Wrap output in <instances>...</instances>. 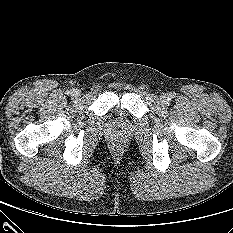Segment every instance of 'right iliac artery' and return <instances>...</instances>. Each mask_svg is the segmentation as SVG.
Here are the masks:
<instances>
[{
    "instance_id": "82829eb1",
    "label": "right iliac artery",
    "mask_w": 233,
    "mask_h": 233,
    "mask_svg": "<svg viewBox=\"0 0 233 233\" xmlns=\"http://www.w3.org/2000/svg\"><path fill=\"white\" fill-rule=\"evenodd\" d=\"M66 93H67L68 95H72V90H67Z\"/></svg>"
}]
</instances>
